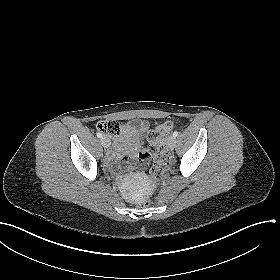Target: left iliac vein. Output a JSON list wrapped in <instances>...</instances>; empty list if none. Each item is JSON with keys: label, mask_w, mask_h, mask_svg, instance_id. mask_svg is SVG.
Segmentation results:
<instances>
[{"label": "left iliac vein", "mask_w": 280, "mask_h": 280, "mask_svg": "<svg viewBox=\"0 0 280 280\" xmlns=\"http://www.w3.org/2000/svg\"><path fill=\"white\" fill-rule=\"evenodd\" d=\"M168 147H169V149H171V150H173L174 148H175V145H176V139H175V137H173V136H170L169 138H168Z\"/></svg>", "instance_id": "obj_1"}]
</instances>
